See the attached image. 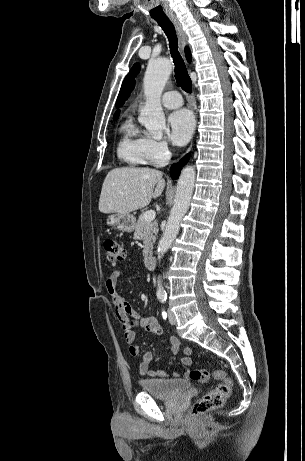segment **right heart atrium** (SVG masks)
I'll list each match as a JSON object with an SVG mask.
<instances>
[{
    "instance_id": "1",
    "label": "right heart atrium",
    "mask_w": 305,
    "mask_h": 461,
    "mask_svg": "<svg viewBox=\"0 0 305 461\" xmlns=\"http://www.w3.org/2000/svg\"><path fill=\"white\" fill-rule=\"evenodd\" d=\"M149 152L152 162L161 164L169 155V145L164 140L149 139Z\"/></svg>"
}]
</instances>
